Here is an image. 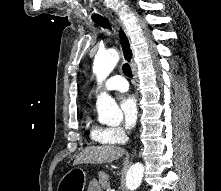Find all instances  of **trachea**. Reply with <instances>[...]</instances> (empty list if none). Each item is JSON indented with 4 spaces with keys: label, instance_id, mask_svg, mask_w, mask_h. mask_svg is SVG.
<instances>
[{
    "label": "trachea",
    "instance_id": "trachea-1",
    "mask_svg": "<svg viewBox=\"0 0 221 191\" xmlns=\"http://www.w3.org/2000/svg\"><path fill=\"white\" fill-rule=\"evenodd\" d=\"M98 26L103 27V28H107V29H111L110 24L107 22V20L105 18H100L94 21ZM124 74L127 77H132V71L130 68V65L128 63H125L122 67Z\"/></svg>",
    "mask_w": 221,
    "mask_h": 191
}]
</instances>
